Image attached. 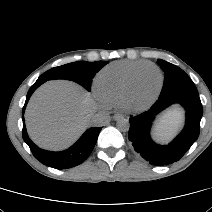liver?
Masks as SVG:
<instances>
[{"label":"liver","instance_id":"obj_1","mask_svg":"<svg viewBox=\"0 0 212 212\" xmlns=\"http://www.w3.org/2000/svg\"><path fill=\"white\" fill-rule=\"evenodd\" d=\"M96 106L79 85L63 80L49 81L31 97L25 120L28 133L40 147L61 150L69 147L91 124ZM181 123V114L169 111L160 119L157 131L170 135Z\"/></svg>","mask_w":212,"mask_h":212}]
</instances>
